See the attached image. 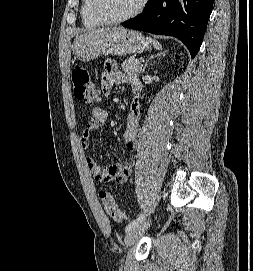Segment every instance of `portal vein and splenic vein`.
I'll return each instance as SVG.
<instances>
[{
	"mask_svg": "<svg viewBox=\"0 0 253 271\" xmlns=\"http://www.w3.org/2000/svg\"><path fill=\"white\" fill-rule=\"evenodd\" d=\"M136 64H137V65H140V61L137 60V61H136Z\"/></svg>",
	"mask_w": 253,
	"mask_h": 271,
	"instance_id": "obj_1",
	"label": "portal vein and splenic vein"
}]
</instances>
